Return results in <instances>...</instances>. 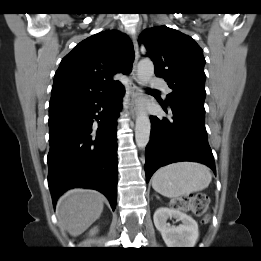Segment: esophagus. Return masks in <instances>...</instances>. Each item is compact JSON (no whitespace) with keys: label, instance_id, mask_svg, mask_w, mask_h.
Returning a JSON list of instances; mask_svg holds the SVG:
<instances>
[{"label":"esophagus","instance_id":"obj_1","mask_svg":"<svg viewBox=\"0 0 261 261\" xmlns=\"http://www.w3.org/2000/svg\"><path fill=\"white\" fill-rule=\"evenodd\" d=\"M132 41H133L135 56H134V61H133V65H132V72H131V75H130L129 81H128V96H129L128 107H129V111L132 114V116L135 117V115L137 113V99L139 96L138 77H137L139 48H138L136 34L132 35Z\"/></svg>","mask_w":261,"mask_h":261}]
</instances>
